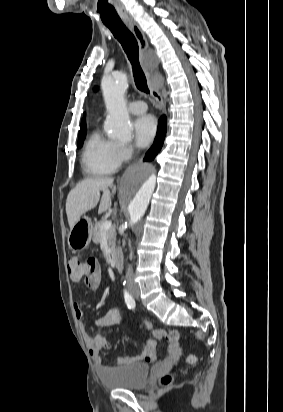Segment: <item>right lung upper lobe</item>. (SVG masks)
<instances>
[{
	"instance_id": "1",
	"label": "right lung upper lobe",
	"mask_w": 283,
	"mask_h": 412,
	"mask_svg": "<svg viewBox=\"0 0 283 412\" xmlns=\"http://www.w3.org/2000/svg\"><path fill=\"white\" fill-rule=\"evenodd\" d=\"M85 132H86V123H85V119H83V121H82V123H81V126H80V133H79V135L85 134Z\"/></svg>"
}]
</instances>
